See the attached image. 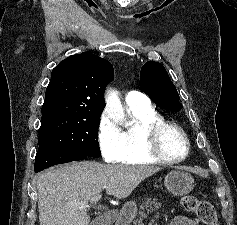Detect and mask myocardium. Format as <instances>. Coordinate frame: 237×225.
Returning <instances> with one entry per match:
<instances>
[{
  "instance_id": "obj_1",
  "label": "myocardium",
  "mask_w": 237,
  "mask_h": 225,
  "mask_svg": "<svg viewBox=\"0 0 237 225\" xmlns=\"http://www.w3.org/2000/svg\"><path fill=\"white\" fill-rule=\"evenodd\" d=\"M168 131H175L182 137L185 143V153L183 156L171 157L164 152L162 139L163 135ZM144 138L149 154L162 163L174 164L181 162L185 160L190 153L191 144L187 134L181 127L173 123L159 121L150 125L144 131Z\"/></svg>"
}]
</instances>
